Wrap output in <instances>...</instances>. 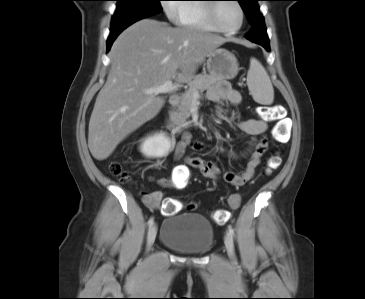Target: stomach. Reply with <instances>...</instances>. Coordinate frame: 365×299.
<instances>
[{"label":"stomach","mask_w":365,"mask_h":299,"mask_svg":"<svg viewBox=\"0 0 365 299\" xmlns=\"http://www.w3.org/2000/svg\"><path fill=\"white\" fill-rule=\"evenodd\" d=\"M207 57V69L210 75L219 79H233L237 75L238 61L230 51L216 48Z\"/></svg>","instance_id":"obj_1"}]
</instances>
